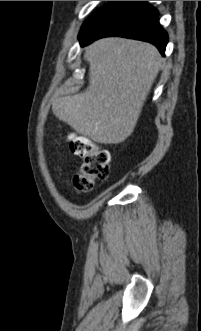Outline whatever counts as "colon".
<instances>
[{"label": "colon", "instance_id": "5ec220e1", "mask_svg": "<svg viewBox=\"0 0 201 331\" xmlns=\"http://www.w3.org/2000/svg\"><path fill=\"white\" fill-rule=\"evenodd\" d=\"M73 154L80 158V163L73 175V185L79 192L91 190L96 181L104 180L109 174V153L91 140L71 135L68 138Z\"/></svg>", "mask_w": 201, "mask_h": 331}]
</instances>
